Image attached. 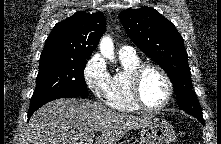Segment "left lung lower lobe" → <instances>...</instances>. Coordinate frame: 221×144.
Masks as SVG:
<instances>
[{"mask_svg":"<svg viewBox=\"0 0 221 144\" xmlns=\"http://www.w3.org/2000/svg\"><path fill=\"white\" fill-rule=\"evenodd\" d=\"M192 115V114H191ZM194 116L195 118H197L203 125H204V119H203V116L202 115H192Z\"/></svg>","mask_w":221,"mask_h":144,"instance_id":"1","label":"left lung lower lobe"}]
</instances>
